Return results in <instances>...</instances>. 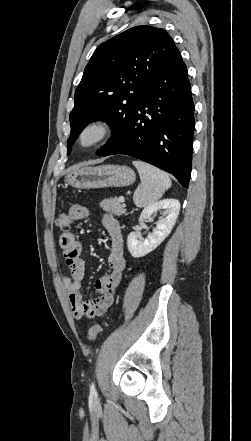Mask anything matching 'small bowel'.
<instances>
[{
    "instance_id": "c3829d8e",
    "label": "small bowel",
    "mask_w": 251,
    "mask_h": 441,
    "mask_svg": "<svg viewBox=\"0 0 251 441\" xmlns=\"http://www.w3.org/2000/svg\"><path fill=\"white\" fill-rule=\"evenodd\" d=\"M89 215V209L82 205H75L71 211L74 220L85 219ZM102 223L110 237V255L107 272L97 279L94 285L100 295L92 300H84L81 294L85 276L81 242L72 233H64L59 239L65 264L69 268V274H63L62 281L76 319L102 316L112 307L116 289L126 267L123 237L118 220L113 214L105 213L102 216Z\"/></svg>"
}]
</instances>
